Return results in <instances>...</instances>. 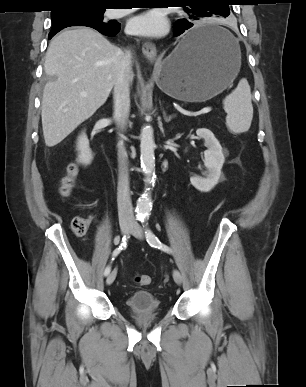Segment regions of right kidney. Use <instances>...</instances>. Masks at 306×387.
Segmentation results:
<instances>
[{"label": "right kidney", "mask_w": 306, "mask_h": 387, "mask_svg": "<svg viewBox=\"0 0 306 387\" xmlns=\"http://www.w3.org/2000/svg\"><path fill=\"white\" fill-rule=\"evenodd\" d=\"M77 150L79 152V161L84 165L90 164L93 159V154L89 147V140L84 132L77 139Z\"/></svg>", "instance_id": "ca27d5eb"}]
</instances>
